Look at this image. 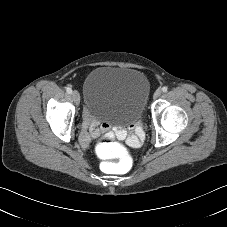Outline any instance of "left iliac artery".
I'll use <instances>...</instances> for the list:
<instances>
[{"mask_svg": "<svg viewBox=\"0 0 227 227\" xmlns=\"http://www.w3.org/2000/svg\"><path fill=\"white\" fill-rule=\"evenodd\" d=\"M162 91H163V92H167V91H168V87L164 86V87L162 88Z\"/></svg>", "mask_w": 227, "mask_h": 227, "instance_id": "1", "label": "left iliac artery"}]
</instances>
